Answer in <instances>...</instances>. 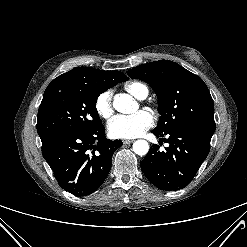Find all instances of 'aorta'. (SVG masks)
Here are the masks:
<instances>
[{"mask_svg": "<svg viewBox=\"0 0 247 247\" xmlns=\"http://www.w3.org/2000/svg\"><path fill=\"white\" fill-rule=\"evenodd\" d=\"M113 107L116 111L130 114L137 110L136 101L128 94H117L113 100ZM133 151L140 155H146L149 151V144L146 140H137L133 144Z\"/></svg>", "mask_w": 247, "mask_h": 247, "instance_id": "762f6f07", "label": "aorta"}]
</instances>
